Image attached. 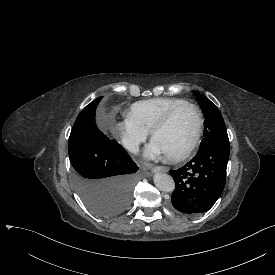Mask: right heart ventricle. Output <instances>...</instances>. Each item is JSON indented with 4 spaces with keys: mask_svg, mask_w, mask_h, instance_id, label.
<instances>
[{
    "mask_svg": "<svg viewBox=\"0 0 275 275\" xmlns=\"http://www.w3.org/2000/svg\"><path fill=\"white\" fill-rule=\"evenodd\" d=\"M179 98L160 97L134 103L127 117L149 133L174 106L185 103Z\"/></svg>",
    "mask_w": 275,
    "mask_h": 275,
    "instance_id": "right-heart-ventricle-1",
    "label": "right heart ventricle"
}]
</instances>
